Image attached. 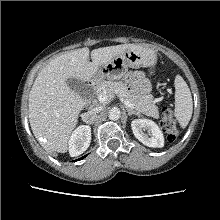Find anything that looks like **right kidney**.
I'll list each match as a JSON object with an SVG mask.
<instances>
[{
  "label": "right kidney",
  "instance_id": "ca27d5eb",
  "mask_svg": "<svg viewBox=\"0 0 220 220\" xmlns=\"http://www.w3.org/2000/svg\"><path fill=\"white\" fill-rule=\"evenodd\" d=\"M91 142V127L79 126L70 136L69 153L71 157L79 156L87 150Z\"/></svg>",
  "mask_w": 220,
  "mask_h": 220
}]
</instances>
